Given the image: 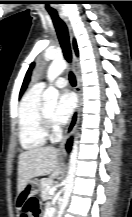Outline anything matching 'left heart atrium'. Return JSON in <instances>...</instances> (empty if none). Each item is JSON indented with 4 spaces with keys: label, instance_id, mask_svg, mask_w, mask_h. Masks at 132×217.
<instances>
[{
    "label": "left heart atrium",
    "instance_id": "obj_1",
    "mask_svg": "<svg viewBox=\"0 0 132 217\" xmlns=\"http://www.w3.org/2000/svg\"><path fill=\"white\" fill-rule=\"evenodd\" d=\"M76 107V98L70 91L61 93L53 117L58 123H65L72 116Z\"/></svg>",
    "mask_w": 132,
    "mask_h": 217
}]
</instances>
